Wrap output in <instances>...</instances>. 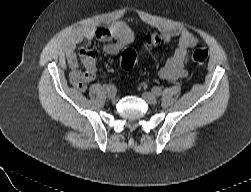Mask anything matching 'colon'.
Wrapping results in <instances>:
<instances>
[{
	"label": "colon",
	"instance_id": "obj_1",
	"mask_svg": "<svg viewBox=\"0 0 251 192\" xmlns=\"http://www.w3.org/2000/svg\"><path fill=\"white\" fill-rule=\"evenodd\" d=\"M146 42L149 46L158 47L164 43V37L159 33H152L146 37ZM209 56V52L205 48L195 49L192 53V61L197 65L204 64ZM136 63V54L131 49H126L122 52L120 57L121 67L125 70L131 69Z\"/></svg>",
	"mask_w": 251,
	"mask_h": 192
}]
</instances>
